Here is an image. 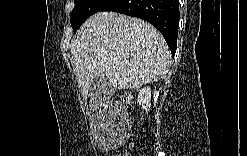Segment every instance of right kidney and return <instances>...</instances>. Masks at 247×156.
Masks as SVG:
<instances>
[{"mask_svg":"<svg viewBox=\"0 0 247 156\" xmlns=\"http://www.w3.org/2000/svg\"><path fill=\"white\" fill-rule=\"evenodd\" d=\"M137 102L142 108L148 112L151 107V89L150 87H144L140 90L137 98Z\"/></svg>","mask_w":247,"mask_h":156,"instance_id":"obj_1","label":"right kidney"}]
</instances>
